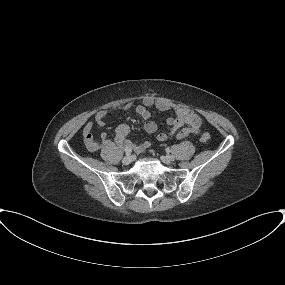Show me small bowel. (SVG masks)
<instances>
[{"mask_svg":"<svg viewBox=\"0 0 285 285\" xmlns=\"http://www.w3.org/2000/svg\"><path fill=\"white\" fill-rule=\"evenodd\" d=\"M133 106L132 103H126L122 106L123 111H128ZM155 107L157 110L165 112L174 109L175 117L166 120L167 132H158L156 139L160 142L166 141L169 137L175 136L177 139H183L191 134H198L201 128V118L193 111L183 108H173L169 103L157 100L153 97H145L135 108L136 113L145 120L144 129L148 133H156L157 124L152 120V113L149 108ZM108 112L106 110L99 111L94 122H88L83 128V137L86 148L95 152L102 147L116 145L125 149H131L135 152H142L150 147L149 141L142 143L134 142L130 139V127L127 124H120L114 131L112 139L105 132L101 133L99 139H95L93 135L94 125L104 127Z\"/></svg>","mask_w":285,"mask_h":285,"instance_id":"c3829d8e","label":"small bowel"}]
</instances>
